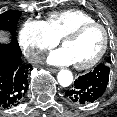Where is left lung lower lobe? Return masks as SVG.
I'll return each instance as SVG.
<instances>
[{
    "instance_id": "0a47b994",
    "label": "left lung lower lobe",
    "mask_w": 117,
    "mask_h": 117,
    "mask_svg": "<svg viewBox=\"0 0 117 117\" xmlns=\"http://www.w3.org/2000/svg\"><path fill=\"white\" fill-rule=\"evenodd\" d=\"M109 76L110 66L105 63L99 64L93 71L79 76L65 94L75 103H92L104 94Z\"/></svg>"
}]
</instances>
